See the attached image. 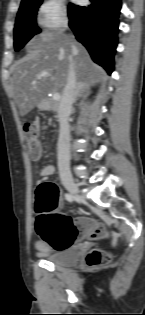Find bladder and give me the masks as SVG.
I'll list each match as a JSON object with an SVG mask.
<instances>
[{
    "mask_svg": "<svg viewBox=\"0 0 145 315\" xmlns=\"http://www.w3.org/2000/svg\"><path fill=\"white\" fill-rule=\"evenodd\" d=\"M79 248H62L55 251L48 257V261L54 266L59 267H70L78 262L79 256L77 255V250Z\"/></svg>",
    "mask_w": 145,
    "mask_h": 315,
    "instance_id": "bladder-1",
    "label": "bladder"
}]
</instances>
